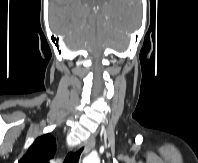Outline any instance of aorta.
<instances>
[{"label":"aorta","mask_w":198,"mask_h":163,"mask_svg":"<svg viewBox=\"0 0 198 163\" xmlns=\"http://www.w3.org/2000/svg\"><path fill=\"white\" fill-rule=\"evenodd\" d=\"M83 163H100V160L95 155H89L86 158H84Z\"/></svg>","instance_id":"762f6f07"}]
</instances>
